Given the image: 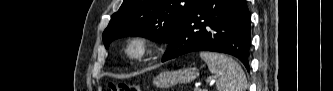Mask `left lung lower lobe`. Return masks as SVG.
I'll list each match as a JSON object with an SVG mask.
<instances>
[{"instance_id":"1","label":"left lung lower lobe","mask_w":333,"mask_h":91,"mask_svg":"<svg viewBox=\"0 0 333 91\" xmlns=\"http://www.w3.org/2000/svg\"><path fill=\"white\" fill-rule=\"evenodd\" d=\"M250 24L246 0H199L168 42L162 61L214 51L237 57L249 71Z\"/></svg>"}]
</instances>
